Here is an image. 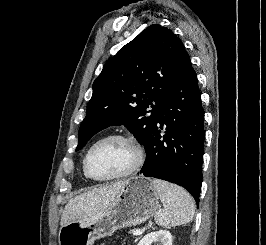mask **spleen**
<instances>
[{"label":"spleen","instance_id":"3e777b00","mask_svg":"<svg viewBox=\"0 0 266 245\" xmlns=\"http://www.w3.org/2000/svg\"><path fill=\"white\" fill-rule=\"evenodd\" d=\"M152 185L164 207L154 215L156 225L159 227H179V225H187L193 221L195 203L185 189L167 183V181H159V179H154Z\"/></svg>","mask_w":266,"mask_h":245}]
</instances>
